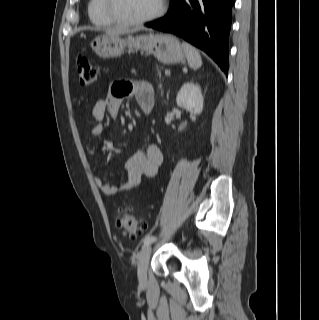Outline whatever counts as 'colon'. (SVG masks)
<instances>
[{"label": "colon", "instance_id": "5ec220e1", "mask_svg": "<svg viewBox=\"0 0 319 320\" xmlns=\"http://www.w3.org/2000/svg\"><path fill=\"white\" fill-rule=\"evenodd\" d=\"M76 68L79 81L84 86L92 85L97 79V70L89 59L79 54L76 58ZM116 225L123 230L125 236L134 238L146 232L147 226L143 219H139L132 211L124 209L115 215Z\"/></svg>", "mask_w": 319, "mask_h": 320}]
</instances>
